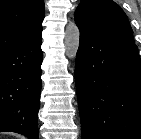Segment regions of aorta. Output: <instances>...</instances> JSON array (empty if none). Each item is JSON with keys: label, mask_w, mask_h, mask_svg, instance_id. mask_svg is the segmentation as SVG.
Listing matches in <instances>:
<instances>
[{"label": "aorta", "mask_w": 141, "mask_h": 139, "mask_svg": "<svg viewBox=\"0 0 141 139\" xmlns=\"http://www.w3.org/2000/svg\"><path fill=\"white\" fill-rule=\"evenodd\" d=\"M80 43V31L78 26L70 22L65 29L64 45L66 56L70 59H74L77 55V51Z\"/></svg>", "instance_id": "762f6f07"}]
</instances>
